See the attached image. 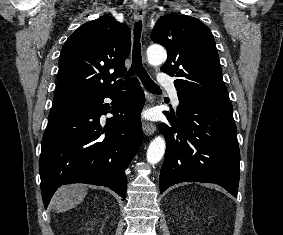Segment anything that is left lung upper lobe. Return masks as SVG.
<instances>
[{
	"label": "left lung upper lobe",
	"mask_w": 283,
	"mask_h": 235,
	"mask_svg": "<svg viewBox=\"0 0 283 235\" xmlns=\"http://www.w3.org/2000/svg\"><path fill=\"white\" fill-rule=\"evenodd\" d=\"M151 39L167 49L161 70L177 77V92L209 101H230L215 40L205 24L187 15L167 14L156 22Z\"/></svg>",
	"instance_id": "left-lung-upper-lobe-1"
}]
</instances>
